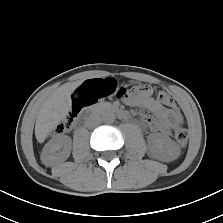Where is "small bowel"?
Segmentation results:
<instances>
[{"instance_id": "c3829d8e", "label": "small bowel", "mask_w": 223, "mask_h": 223, "mask_svg": "<svg viewBox=\"0 0 223 223\" xmlns=\"http://www.w3.org/2000/svg\"><path fill=\"white\" fill-rule=\"evenodd\" d=\"M124 102L129 105L142 106L154 114V116H142V122L152 133L167 134L183 122V117L178 109L164 107L153 97L151 87L144 86L137 89L132 96H127Z\"/></svg>"}]
</instances>
